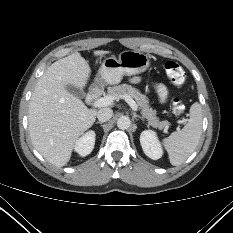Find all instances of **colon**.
<instances>
[{
	"instance_id": "5ec220e1",
	"label": "colon",
	"mask_w": 233,
	"mask_h": 233,
	"mask_svg": "<svg viewBox=\"0 0 233 233\" xmlns=\"http://www.w3.org/2000/svg\"><path fill=\"white\" fill-rule=\"evenodd\" d=\"M165 74L169 81L175 86H182L186 81V75L183 68L174 61H166L163 65ZM185 111V105L180 99H174L172 103V112L175 116H180Z\"/></svg>"
}]
</instances>
